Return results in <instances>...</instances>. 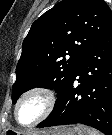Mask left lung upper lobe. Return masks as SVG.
<instances>
[{"label":"left lung upper lobe","instance_id":"obj_1","mask_svg":"<svg viewBox=\"0 0 112 135\" xmlns=\"http://www.w3.org/2000/svg\"><path fill=\"white\" fill-rule=\"evenodd\" d=\"M111 24L112 11L104 0H63L46 11L23 41L13 103L35 87L55 89L58 97Z\"/></svg>","mask_w":112,"mask_h":135}]
</instances>
